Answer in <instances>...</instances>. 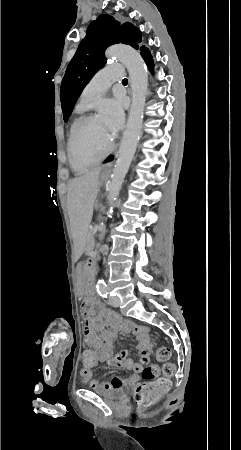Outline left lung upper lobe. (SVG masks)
Segmentation results:
<instances>
[{
  "mask_svg": "<svg viewBox=\"0 0 241 450\" xmlns=\"http://www.w3.org/2000/svg\"><path fill=\"white\" fill-rule=\"evenodd\" d=\"M141 42V32L137 27L129 22L120 25L108 14L100 15L90 23L86 37L81 41L69 63L61 83L60 98L65 122L68 121L83 88L104 66L106 48L112 44L123 43L142 52L146 47L139 46Z\"/></svg>",
  "mask_w": 241,
  "mask_h": 450,
  "instance_id": "1",
  "label": "left lung upper lobe"
}]
</instances>
